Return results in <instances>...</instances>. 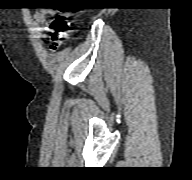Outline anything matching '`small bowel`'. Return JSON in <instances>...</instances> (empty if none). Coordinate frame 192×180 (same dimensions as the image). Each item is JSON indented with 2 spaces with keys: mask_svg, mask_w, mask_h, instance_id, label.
Wrapping results in <instances>:
<instances>
[{
  "mask_svg": "<svg viewBox=\"0 0 192 180\" xmlns=\"http://www.w3.org/2000/svg\"><path fill=\"white\" fill-rule=\"evenodd\" d=\"M48 14H53V11L51 10H42L40 12H37L35 15H34V24L36 25L37 29L39 31H42L43 30V27L42 25L45 24L46 22V16Z\"/></svg>",
  "mask_w": 192,
  "mask_h": 180,
  "instance_id": "obj_1",
  "label": "small bowel"
}]
</instances>
